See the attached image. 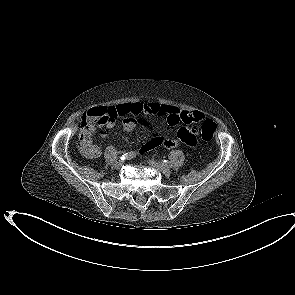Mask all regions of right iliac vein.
Returning a JSON list of instances; mask_svg holds the SVG:
<instances>
[{
  "instance_id": "63e3f726",
  "label": "right iliac vein",
  "mask_w": 295,
  "mask_h": 295,
  "mask_svg": "<svg viewBox=\"0 0 295 295\" xmlns=\"http://www.w3.org/2000/svg\"><path fill=\"white\" fill-rule=\"evenodd\" d=\"M123 166V161L119 160L114 163L115 169H120Z\"/></svg>"
}]
</instances>
